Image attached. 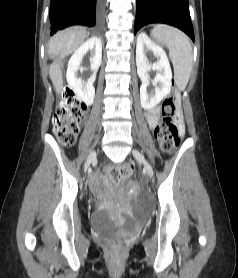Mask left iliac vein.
Returning a JSON list of instances; mask_svg holds the SVG:
<instances>
[{
  "mask_svg": "<svg viewBox=\"0 0 238 278\" xmlns=\"http://www.w3.org/2000/svg\"><path fill=\"white\" fill-rule=\"evenodd\" d=\"M132 153L135 156V158L138 159L144 165V168L148 176L152 178L154 175L153 168L150 165V163L145 159L144 155L137 149H133Z\"/></svg>",
  "mask_w": 238,
  "mask_h": 278,
  "instance_id": "left-iliac-vein-1",
  "label": "left iliac vein"
}]
</instances>
